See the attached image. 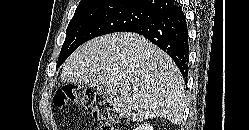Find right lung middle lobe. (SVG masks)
I'll use <instances>...</instances> for the list:
<instances>
[{
    "label": "right lung middle lobe",
    "instance_id": "1",
    "mask_svg": "<svg viewBox=\"0 0 249 130\" xmlns=\"http://www.w3.org/2000/svg\"><path fill=\"white\" fill-rule=\"evenodd\" d=\"M158 16L143 8L115 1H100L77 7L66 30L57 67L84 42L100 35L126 31Z\"/></svg>",
    "mask_w": 249,
    "mask_h": 130
}]
</instances>
